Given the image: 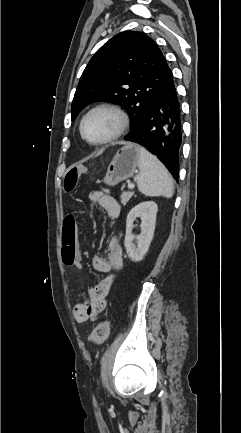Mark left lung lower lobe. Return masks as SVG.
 <instances>
[{"mask_svg":"<svg viewBox=\"0 0 241 433\" xmlns=\"http://www.w3.org/2000/svg\"><path fill=\"white\" fill-rule=\"evenodd\" d=\"M125 140L146 147L178 180L182 122L180 103L171 70L167 73L163 88Z\"/></svg>","mask_w":241,"mask_h":433,"instance_id":"0a47b994","label":"left lung lower lobe"}]
</instances>
